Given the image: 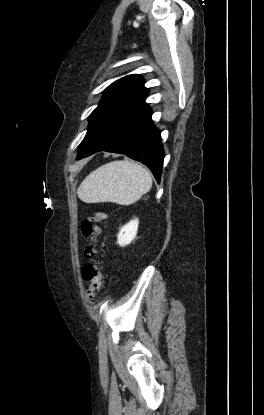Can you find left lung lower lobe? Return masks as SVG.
I'll list each match as a JSON object with an SVG mask.
<instances>
[{"label":"left lung lower lobe","mask_w":264,"mask_h":415,"mask_svg":"<svg viewBox=\"0 0 264 415\" xmlns=\"http://www.w3.org/2000/svg\"><path fill=\"white\" fill-rule=\"evenodd\" d=\"M148 91L129 97L104 112L79 146L77 159L99 151L125 154L145 164L159 182L164 160L160 130L151 119Z\"/></svg>","instance_id":"left-lung-lower-lobe-1"}]
</instances>
